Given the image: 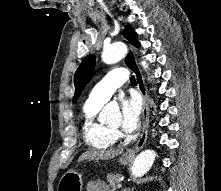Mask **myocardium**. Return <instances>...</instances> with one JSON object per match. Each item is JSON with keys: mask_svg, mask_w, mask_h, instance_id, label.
Here are the masks:
<instances>
[{"mask_svg": "<svg viewBox=\"0 0 221 191\" xmlns=\"http://www.w3.org/2000/svg\"><path fill=\"white\" fill-rule=\"evenodd\" d=\"M112 132L116 133L118 132V128L117 127H111V126H107Z\"/></svg>", "mask_w": 221, "mask_h": 191, "instance_id": "f54148a6", "label": "myocardium"}]
</instances>
